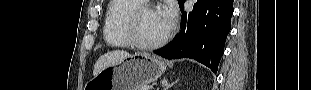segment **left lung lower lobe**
<instances>
[{
  "label": "left lung lower lobe",
  "mask_w": 311,
  "mask_h": 90,
  "mask_svg": "<svg viewBox=\"0 0 311 90\" xmlns=\"http://www.w3.org/2000/svg\"><path fill=\"white\" fill-rule=\"evenodd\" d=\"M232 14L233 0H198L192 12L182 13V28L177 38L154 53L167 59L192 58L216 73L231 29Z\"/></svg>",
  "instance_id": "0a47b994"
}]
</instances>
